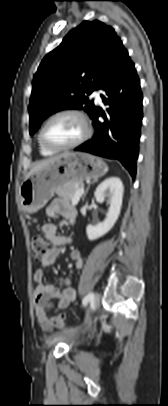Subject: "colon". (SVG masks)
<instances>
[{
    "label": "colon",
    "mask_w": 168,
    "mask_h": 406,
    "mask_svg": "<svg viewBox=\"0 0 168 406\" xmlns=\"http://www.w3.org/2000/svg\"><path fill=\"white\" fill-rule=\"evenodd\" d=\"M31 245L34 260L40 263L46 261L53 250V245L41 236H34L31 240ZM50 323L57 328H63L66 325L65 315L59 314L57 316H52L50 318Z\"/></svg>",
    "instance_id": "1"
}]
</instances>
